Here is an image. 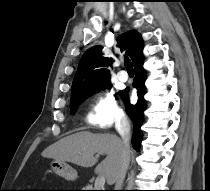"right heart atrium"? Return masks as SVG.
<instances>
[{
	"mask_svg": "<svg viewBox=\"0 0 210 191\" xmlns=\"http://www.w3.org/2000/svg\"><path fill=\"white\" fill-rule=\"evenodd\" d=\"M123 112L119 108L112 92L98 96L91 104L87 115L88 122L100 129H108L121 121Z\"/></svg>",
	"mask_w": 210,
	"mask_h": 191,
	"instance_id": "d8ad5b80",
	"label": "right heart atrium"
}]
</instances>
